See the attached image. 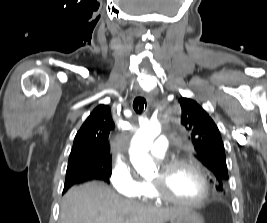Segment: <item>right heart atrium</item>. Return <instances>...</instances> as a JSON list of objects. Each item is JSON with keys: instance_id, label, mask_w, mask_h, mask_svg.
<instances>
[{"instance_id": "d8ad5b80", "label": "right heart atrium", "mask_w": 267, "mask_h": 223, "mask_svg": "<svg viewBox=\"0 0 267 223\" xmlns=\"http://www.w3.org/2000/svg\"><path fill=\"white\" fill-rule=\"evenodd\" d=\"M110 182L117 193L129 196H136L141 184L130 164L125 161L114 165L110 174Z\"/></svg>"}]
</instances>
